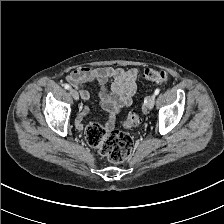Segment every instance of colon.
Returning a JSON list of instances; mask_svg holds the SVG:
<instances>
[{"label": "colon", "mask_w": 224, "mask_h": 224, "mask_svg": "<svg viewBox=\"0 0 224 224\" xmlns=\"http://www.w3.org/2000/svg\"><path fill=\"white\" fill-rule=\"evenodd\" d=\"M142 79L152 84L161 85L168 81L166 71L145 69ZM141 116L135 110L130 112L123 125L125 128H134L139 125ZM85 138L88 144L97 147L103 159L119 163L125 161L132 153L134 142L131 136L119 131H108L99 123H90L85 129Z\"/></svg>", "instance_id": "obj_1"}]
</instances>
